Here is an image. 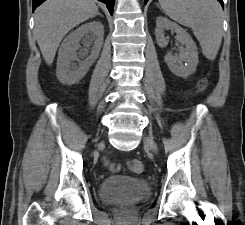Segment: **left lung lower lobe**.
I'll return each instance as SVG.
<instances>
[{"instance_id":"left-lung-lower-lobe-1","label":"left lung lower lobe","mask_w":245,"mask_h":225,"mask_svg":"<svg viewBox=\"0 0 245 225\" xmlns=\"http://www.w3.org/2000/svg\"><path fill=\"white\" fill-rule=\"evenodd\" d=\"M148 0H144L145 4L147 3ZM220 4L223 6V0H218Z\"/></svg>"}]
</instances>
